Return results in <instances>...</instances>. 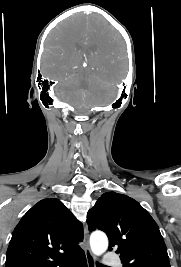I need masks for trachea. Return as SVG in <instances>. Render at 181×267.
Wrapping results in <instances>:
<instances>
[{
    "label": "trachea",
    "mask_w": 181,
    "mask_h": 267,
    "mask_svg": "<svg viewBox=\"0 0 181 267\" xmlns=\"http://www.w3.org/2000/svg\"><path fill=\"white\" fill-rule=\"evenodd\" d=\"M97 265H98V267H106V266H104V265H102L100 263H97Z\"/></svg>",
    "instance_id": "3493384b"
}]
</instances>
